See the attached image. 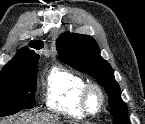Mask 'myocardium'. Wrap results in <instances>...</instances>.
Listing matches in <instances>:
<instances>
[{"instance_id":"1","label":"myocardium","mask_w":145,"mask_h":124,"mask_svg":"<svg viewBox=\"0 0 145 124\" xmlns=\"http://www.w3.org/2000/svg\"><path fill=\"white\" fill-rule=\"evenodd\" d=\"M97 97V105L95 108L91 106V98ZM105 104V94L100 85L96 83H88L81 94V107L86 115L95 116L99 114Z\"/></svg>"}]
</instances>
